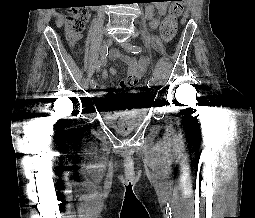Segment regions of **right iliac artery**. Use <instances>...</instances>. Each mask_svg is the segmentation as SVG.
Masks as SVG:
<instances>
[{"mask_svg": "<svg viewBox=\"0 0 255 218\" xmlns=\"http://www.w3.org/2000/svg\"><path fill=\"white\" fill-rule=\"evenodd\" d=\"M108 56V47L104 46L101 50V59L98 62V68H100L106 61V57ZM91 84L96 83L94 79H91L90 81Z\"/></svg>", "mask_w": 255, "mask_h": 218, "instance_id": "right-iliac-artery-1", "label": "right iliac artery"}]
</instances>
